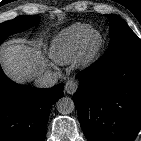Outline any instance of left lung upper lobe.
I'll list each match as a JSON object with an SVG mask.
<instances>
[{
	"instance_id": "left-lung-upper-lobe-1",
	"label": "left lung upper lobe",
	"mask_w": 141,
	"mask_h": 141,
	"mask_svg": "<svg viewBox=\"0 0 141 141\" xmlns=\"http://www.w3.org/2000/svg\"><path fill=\"white\" fill-rule=\"evenodd\" d=\"M110 24V42L107 54L120 51H141V40L117 15H106Z\"/></svg>"
}]
</instances>
